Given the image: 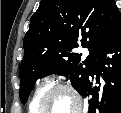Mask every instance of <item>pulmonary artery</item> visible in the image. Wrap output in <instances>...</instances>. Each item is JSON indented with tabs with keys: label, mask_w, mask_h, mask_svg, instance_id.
Wrapping results in <instances>:
<instances>
[{
	"label": "pulmonary artery",
	"mask_w": 121,
	"mask_h": 113,
	"mask_svg": "<svg viewBox=\"0 0 121 113\" xmlns=\"http://www.w3.org/2000/svg\"><path fill=\"white\" fill-rule=\"evenodd\" d=\"M88 55V52L85 50L84 51V56H87Z\"/></svg>",
	"instance_id": "1"
}]
</instances>
